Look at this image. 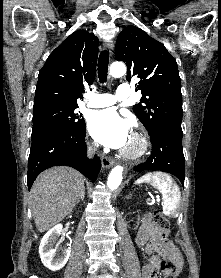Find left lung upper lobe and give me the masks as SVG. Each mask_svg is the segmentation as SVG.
I'll use <instances>...</instances> for the list:
<instances>
[{
  "label": "left lung upper lobe",
  "instance_id": "1",
  "mask_svg": "<svg viewBox=\"0 0 221 278\" xmlns=\"http://www.w3.org/2000/svg\"><path fill=\"white\" fill-rule=\"evenodd\" d=\"M115 57L127 65V80L138 78L140 103L135 115L151 134L161 126L181 128L182 95L177 63L165 46L142 29L129 26L119 34Z\"/></svg>",
  "mask_w": 221,
  "mask_h": 278
}]
</instances>
